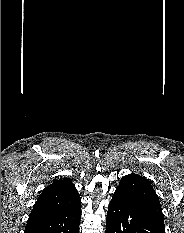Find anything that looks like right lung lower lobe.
Returning a JSON list of instances; mask_svg holds the SVG:
<instances>
[{
	"label": "right lung lower lobe",
	"instance_id": "right-lung-lower-lobe-1",
	"mask_svg": "<svg viewBox=\"0 0 184 233\" xmlns=\"http://www.w3.org/2000/svg\"><path fill=\"white\" fill-rule=\"evenodd\" d=\"M81 207L77 210L28 222L24 233H79Z\"/></svg>",
	"mask_w": 184,
	"mask_h": 233
}]
</instances>
